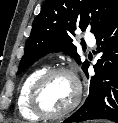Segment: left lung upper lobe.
I'll list each match as a JSON object with an SVG mask.
<instances>
[{
    "label": "left lung upper lobe",
    "mask_w": 118,
    "mask_h": 123,
    "mask_svg": "<svg viewBox=\"0 0 118 123\" xmlns=\"http://www.w3.org/2000/svg\"><path fill=\"white\" fill-rule=\"evenodd\" d=\"M117 16L118 0H45L33 21L17 74L51 51L70 55L84 70L88 62L80 61L73 44L74 31L89 28L96 36Z\"/></svg>",
    "instance_id": "obj_1"
}]
</instances>
